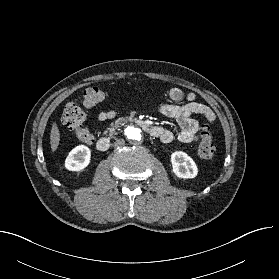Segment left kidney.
Masks as SVG:
<instances>
[{
  "label": "left kidney",
  "mask_w": 279,
  "mask_h": 279,
  "mask_svg": "<svg viewBox=\"0 0 279 279\" xmlns=\"http://www.w3.org/2000/svg\"><path fill=\"white\" fill-rule=\"evenodd\" d=\"M173 173L183 179L194 178L198 174V168L194 160L183 151L171 154Z\"/></svg>",
  "instance_id": "5707ae66"
}]
</instances>
